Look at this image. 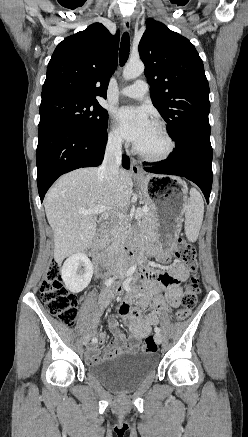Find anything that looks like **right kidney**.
Wrapping results in <instances>:
<instances>
[{"label": "right kidney", "mask_w": 248, "mask_h": 437, "mask_svg": "<svg viewBox=\"0 0 248 437\" xmlns=\"http://www.w3.org/2000/svg\"><path fill=\"white\" fill-rule=\"evenodd\" d=\"M81 266L83 269H81ZM92 275V263L83 253L71 255L66 259L61 269L65 287L72 293L83 291L89 285Z\"/></svg>", "instance_id": "ca27d5eb"}]
</instances>
